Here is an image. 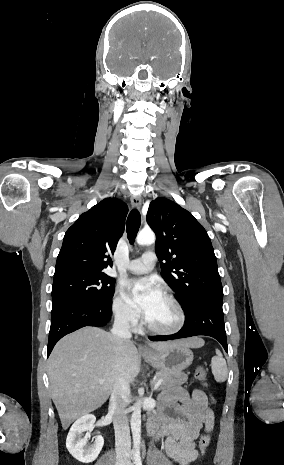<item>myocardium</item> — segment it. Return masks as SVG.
I'll use <instances>...</instances> for the list:
<instances>
[{
    "label": "myocardium",
    "instance_id": "obj_1",
    "mask_svg": "<svg viewBox=\"0 0 284 465\" xmlns=\"http://www.w3.org/2000/svg\"><path fill=\"white\" fill-rule=\"evenodd\" d=\"M160 296H163L165 299L168 300V302L172 305V307L175 309L177 313V322L176 324L170 328V329H165V330H160L152 327L151 325L148 324L147 319L145 316L142 317V324L144 328L152 335L154 336H159V337H171L176 334H178L181 329L183 328L185 321H186V316L185 312L180 305V303L176 300V298L169 294L166 291H162L160 293Z\"/></svg>",
    "mask_w": 284,
    "mask_h": 465
}]
</instances>
